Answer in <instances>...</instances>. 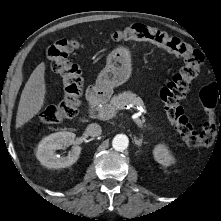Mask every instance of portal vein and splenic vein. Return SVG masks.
I'll return each instance as SVG.
<instances>
[{
    "label": "portal vein and splenic vein",
    "instance_id": "1",
    "mask_svg": "<svg viewBox=\"0 0 221 221\" xmlns=\"http://www.w3.org/2000/svg\"><path fill=\"white\" fill-rule=\"evenodd\" d=\"M98 118L101 120H109L112 119L113 117L116 116V112L115 111H111V110H99L98 114H97ZM133 119L135 121V123L137 124L138 127L142 128V122L141 120L138 118L137 115H133Z\"/></svg>",
    "mask_w": 221,
    "mask_h": 221
}]
</instances>
